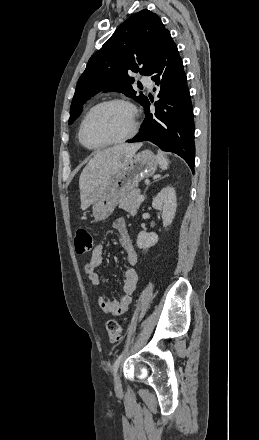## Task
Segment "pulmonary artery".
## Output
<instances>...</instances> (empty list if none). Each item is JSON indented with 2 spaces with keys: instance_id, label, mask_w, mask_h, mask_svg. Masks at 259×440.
I'll use <instances>...</instances> for the list:
<instances>
[{
  "instance_id": "pulmonary-artery-1",
  "label": "pulmonary artery",
  "mask_w": 259,
  "mask_h": 440,
  "mask_svg": "<svg viewBox=\"0 0 259 440\" xmlns=\"http://www.w3.org/2000/svg\"><path fill=\"white\" fill-rule=\"evenodd\" d=\"M141 82H142L145 86H147L148 88H151L152 85H153L152 80H151L149 77H147V76L142 77Z\"/></svg>"
}]
</instances>
